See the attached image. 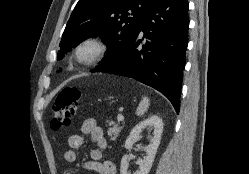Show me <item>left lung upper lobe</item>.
I'll use <instances>...</instances> for the list:
<instances>
[{
  "label": "left lung upper lobe",
  "mask_w": 249,
  "mask_h": 174,
  "mask_svg": "<svg viewBox=\"0 0 249 174\" xmlns=\"http://www.w3.org/2000/svg\"><path fill=\"white\" fill-rule=\"evenodd\" d=\"M154 0H79L64 30L58 59L80 42L100 36L108 50L100 67L115 64L137 36Z\"/></svg>",
  "instance_id": "left-lung-upper-lobe-1"
}]
</instances>
